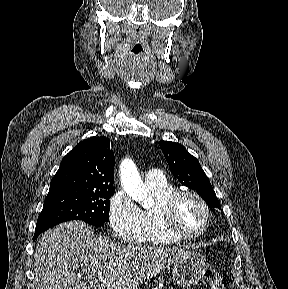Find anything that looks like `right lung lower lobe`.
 Segmentation results:
<instances>
[{
    "instance_id": "1",
    "label": "right lung lower lobe",
    "mask_w": 288,
    "mask_h": 289,
    "mask_svg": "<svg viewBox=\"0 0 288 289\" xmlns=\"http://www.w3.org/2000/svg\"><path fill=\"white\" fill-rule=\"evenodd\" d=\"M40 232H35V235L33 237V240H35L39 236Z\"/></svg>"
}]
</instances>
